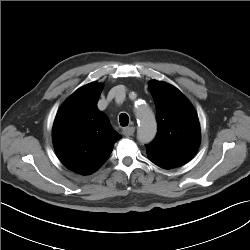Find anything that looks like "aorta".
I'll list each match as a JSON object with an SVG mask.
<instances>
[{"instance_id": "762f6f07", "label": "aorta", "mask_w": 250, "mask_h": 250, "mask_svg": "<svg viewBox=\"0 0 250 250\" xmlns=\"http://www.w3.org/2000/svg\"><path fill=\"white\" fill-rule=\"evenodd\" d=\"M136 117L139 122L137 139L142 144L151 142L157 131L156 120L147 104L142 103L136 107Z\"/></svg>"}]
</instances>
